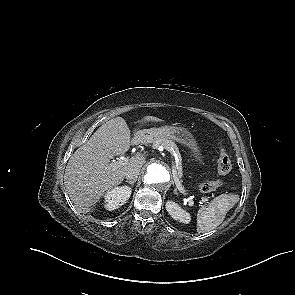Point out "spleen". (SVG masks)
I'll return each instance as SVG.
<instances>
[{
	"label": "spleen",
	"instance_id": "spleen-1",
	"mask_svg": "<svg viewBox=\"0 0 295 295\" xmlns=\"http://www.w3.org/2000/svg\"><path fill=\"white\" fill-rule=\"evenodd\" d=\"M238 200V195L222 194L207 206H202L197 213V232L204 233L219 226L227 212L235 206Z\"/></svg>",
	"mask_w": 295,
	"mask_h": 295
}]
</instances>
